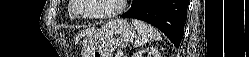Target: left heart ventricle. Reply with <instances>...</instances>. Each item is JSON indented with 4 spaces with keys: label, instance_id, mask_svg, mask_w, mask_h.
<instances>
[{
    "label": "left heart ventricle",
    "instance_id": "b2bd125f",
    "mask_svg": "<svg viewBox=\"0 0 249 57\" xmlns=\"http://www.w3.org/2000/svg\"><path fill=\"white\" fill-rule=\"evenodd\" d=\"M83 7L80 12L84 15L107 13L115 10L120 0H82Z\"/></svg>",
    "mask_w": 249,
    "mask_h": 57
}]
</instances>
